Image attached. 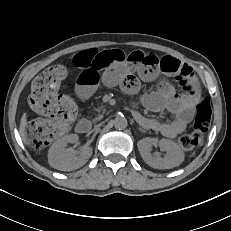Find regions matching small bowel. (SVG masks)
<instances>
[{
  "instance_id": "1",
  "label": "small bowel",
  "mask_w": 231,
  "mask_h": 231,
  "mask_svg": "<svg viewBox=\"0 0 231 231\" xmlns=\"http://www.w3.org/2000/svg\"><path fill=\"white\" fill-rule=\"evenodd\" d=\"M141 53L145 56L141 62L126 60L122 57V50H90L78 54L80 58H95L76 66L82 69L77 78L76 93L80 99H88L97 86L102 84L107 87L120 86L124 92L133 94L139 90V78L153 81L160 74L175 77L189 86L190 90L179 94L170 84L162 83L156 91L148 92L143 97L147 109L154 112L167 109L173 114V120L165 122L135 114L136 119L145 127L167 137H175L185 130L203 99L198 81L190 66L173 57L158 58Z\"/></svg>"
}]
</instances>
